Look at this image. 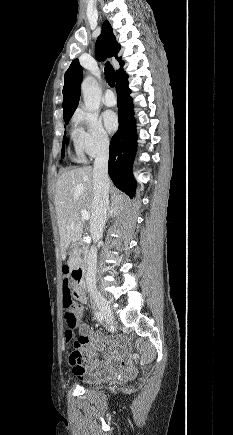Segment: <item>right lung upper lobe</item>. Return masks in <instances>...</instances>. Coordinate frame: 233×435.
<instances>
[{
  "mask_svg": "<svg viewBox=\"0 0 233 435\" xmlns=\"http://www.w3.org/2000/svg\"><path fill=\"white\" fill-rule=\"evenodd\" d=\"M120 48V45L116 43V38L110 23L105 21L102 25L101 35L96 42L95 55L99 61H103L106 55L109 57L114 56L118 59L120 69L116 72V79L126 75L123 71L124 62L121 57H117ZM82 76V67L79 64V60L75 59L64 75L62 104L64 117L72 116L78 106Z\"/></svg>",
  "mask_w": 233,
  "mask_h": 435,
  "instance_id": "right-lung-upper-lobe-1",
  "label": "right lung upper lobe"
}]
</instances>
